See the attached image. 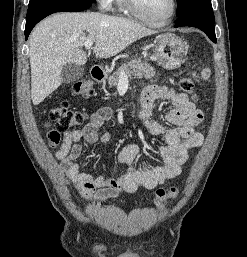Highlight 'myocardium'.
<instances>
[{"instance_id": "myocardium-1", "label": "myocardium", "mask_w": 247, "mask_h": 257, "mask_svg": "<svg viewBox=\"0 0 247 257\" xmlns=\"http://www.w3.org/2000/svg\"><path fill=\"white\" fill-rule=\"evenodd\" d=\"M123 2H124L126 9L132 15H134L136 18L143 21L144 23L154 26V27H163V26L168 25L172 21L173 17L175 16L177 7H178L177 0H171L172 6H171V10H170L169 14L167 15V17L161 21H155V20L148 18L141 12L136 0H123Z\"/></svg>"}]
</instances>
